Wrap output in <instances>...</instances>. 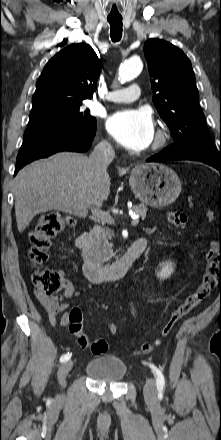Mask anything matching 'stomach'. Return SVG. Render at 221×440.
Segmentation results:
<instances>
[{"instance_id": "1", "label": "stomach", "mask_w": 221, "mask_h": 440, "mask_svg": "<svg viewBox=\"0 0 221 440\" xmlns=\"http://www.w3.org/2000/svg\"><path fill=\"white\" fill-rule=\"evenodd\" d=\"M129 184L136 198L152 207L172 204L181 192V182L174 170L161 163H144L130 174Z\"/></svg>"}]
</instances>
